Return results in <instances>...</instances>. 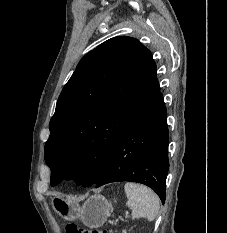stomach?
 <instances>
[{
    "label": "stomach",
    "mask_w": 227,
    "mask_h": 233,
    "mask_svg": "<svg viewBox=\"0 0 227 233\" xmlns=\"http://www.w3.org/2000/svg\"><path fill=\"white\" fill-rule=\"evenodd\" d=\"M52 204L63 219H80L89 228L102 226L113 210L112 202L100 195L92 196L82 206L61 196L53 198Z\"/></svg>",
    "instance_id": "obj_1"
}]
</instances>
